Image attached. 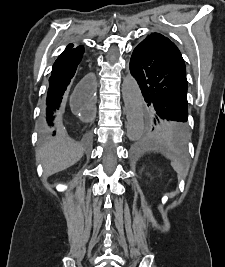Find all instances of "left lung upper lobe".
<instances>
[{
    "instance_id": "left-lung-upper-lobe-1",
    "label": "left lung upper lobe",
    "mask_w": 225,
    "mask_h": 267,
    "mask_svg": "<svg viewBox=\"0 0 225 267\" xmlns=\"http://www.w3.org/2000/svg\"><path fill=\"white\" fill-rule=\"evenodd\" d=\"M151 35H156V36L166 38L159 33H152ZM166 39H168V38H166ZM149 123H150V127L152 128V130L157 131L160 134H162V135H164V136H166V137H168V138H170V139H172L178 143H183L187 137V124L186 123L183 124L184 130H185L184 139H179L173 131L174 123L163 118V117L156 116V114L153 110H151Z\"/></svg>"
}]
</instances>
